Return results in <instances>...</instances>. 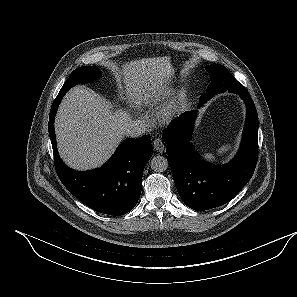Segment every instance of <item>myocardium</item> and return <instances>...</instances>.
Here are the masks:
<instances>
[{
    "label": "myocardium",
    "mask_w": 297,
    "mask_h": 297,
    "mask_svg": "<svg viewBox=\"0 0 297 297\" xmlns=\"http://www.w3.org/2000/svg\"><path fill=\"white\" fill-rule=\"evenodd\" d=\"M180 108V102L177 101L176 103H173L172 105L168 106L162 113V118L167 121L170 120L176 112Z\"/></svg>",
    "instance_id": "1"
}]
</instances>
